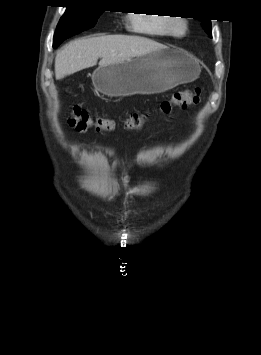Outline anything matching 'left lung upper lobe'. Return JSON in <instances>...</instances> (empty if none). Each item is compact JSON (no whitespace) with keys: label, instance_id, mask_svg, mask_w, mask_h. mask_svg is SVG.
<instances>
[{"label":"left lung upper lobe","instance_id":"obj_1","mask_svg":"<svg viewBox=\"0 0 261 355\" xmlns=\"http://www.w3.org/2000/svg\"><path fill=\"white\" fill-rule=\"evenodd\" d=\"M201 20L204 21L202 23V27L204 31L211 37V22L209 20H203V19Z\"/></svg>","mask_w":261,"mask_h":355}]
</instances>
